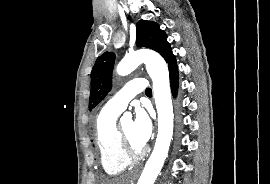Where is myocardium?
Returning a JSON list of instances; mask_svg holds the SVG:
<instances>
[{
  "label": "myocardium",
  "instance_id": "myocardium-1",
  "mask_svg": "<svg viewBox=\"0 0 270 184\" xmlns=\"http://www.w3.org/2000/svg\"><path fill=\"white\" fill-rule=\"evenodd\" d=\"M119 144L123 157L128 161H137L141 159L147 152V148L142 146L141 148H135L126 134L124 133L121 125L117 127Z\"/></svg>",
  "mask_w": 270,
  "mask_h": 184
}]
</instances>
